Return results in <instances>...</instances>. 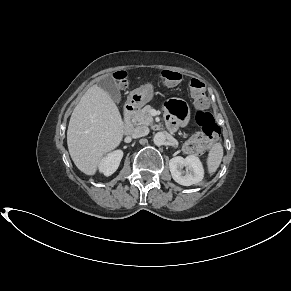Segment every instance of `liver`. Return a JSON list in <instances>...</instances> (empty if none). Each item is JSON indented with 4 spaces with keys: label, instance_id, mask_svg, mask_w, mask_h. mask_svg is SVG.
<instances>
[{
    "label": "liver",
    "instance_id": "obj_1",
    "mask_svg": "<svg viewBox=\"0 0 291 291\" xmlns=\"http://www.w3.org/2000/svg\"><path fill=\"white\" fill-rule=\"evenodd\" d=\"M124 122L115 102L97 85L75 107L67 130V145L76 167L94 175L100 162L121 143Z\"/></svg>",
    "mask_w": 291,
    "mask_h": 291
}]
</instances>
